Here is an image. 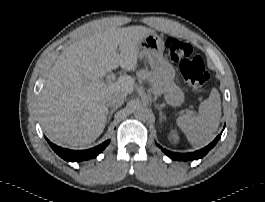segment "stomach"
<instances>
[{
	"instance_id": "obj_1",
	"label": "stomach",
	"mask_w": 265,
	"mask_h": 202,
	"mask_svg": "<svg viewBox=\"0 0 265 202\" xmlns=\"http://www.w3.org/2000/svg\"><path fill=\"white\" fill-rule=\"evenodd\" d=\"M164 41L156 33L144 37L139 43V58L146 57L153 72L163 81L166 102L173 106H181L184 102L182 89L174 82L175 69L164 58Z\"/></svg>"
}]
</instances>
